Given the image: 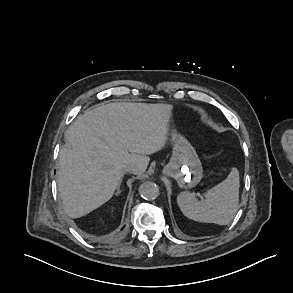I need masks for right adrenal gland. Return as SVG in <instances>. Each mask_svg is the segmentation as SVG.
I'll use <instances>...</instances> for the list:
<instances>
[{"mask_svg":"<svg viewBox=\"0 0 293 293\" xmlns=\"http://www.w3.org/2000/svg\"><path fill=\"white\" fill-rule=\"evenodd\" d=\"M121 183H122V181L119 183L115 195H119V194L121 193V190H120V185H121Z\"/></svg>","mask_w":293,"mask_h":293,"instance_id":"2a0ac1e0","label":"right adrenal gland"}]
</instances>
